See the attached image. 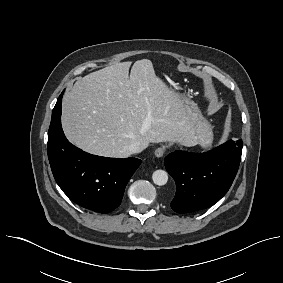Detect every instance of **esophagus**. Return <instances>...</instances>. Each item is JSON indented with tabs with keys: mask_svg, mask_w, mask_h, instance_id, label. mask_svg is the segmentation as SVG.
<instances>
[{
	"mask_svg": "<svg viewBox=\"0 0 283 283\" xmlns=\"http://www.w3.org/2000/svg\"><path fill=\"white\" fill-rule=\"evenodd\" d=\"M165 151H166V149L164 147H159L155 150L154 153H155L156 157L160 158L164 155Z\"/></svg>",
	"mask_w": 283,
	"mask_h": 283,
	"instance_id": "obj_1",
	"label": "esophagus"
}]
</instances>
